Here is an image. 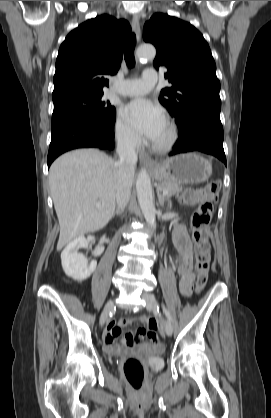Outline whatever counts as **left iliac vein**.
Segmentation results:
<instances>
[{"mask_svg":"<svg viewBox=\"0 0 271 418\" xmlns=\"http://www.w3.org/2000/svg\"><path fill=\"white\" fill-rule=\"evenodd\" d=\"M142 298L145 300V302H146V308L148 310H151V311H156L157 310V308H158V302H157L155 296L152 293L145 292V293L142 294ZM162 327H163L165 333L168 336H171L172 335V333H173V327H172L170 321H168L165 318H162Z\"/></svg>","mask_w":271,"mask_h":418,"instance_id":"obj_1","label":"left iliac vein"}]
</instances>
